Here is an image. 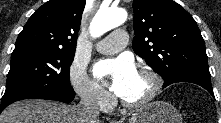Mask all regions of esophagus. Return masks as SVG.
<instances>
[{
    "instance_id": "esophagus-1",
    "label": "esophagus",
    "mask_w": 221,
    "mask_h": 123,
    "mask_svg": "<svg viewBox=\"0 0 221 123\" xmlns=\"http://www.w3.org/2000/svg\"><path fill=\"white\" fill-rule=\"evenodd\" d=\"M111 123H117L116 121H112Z\"/></svg>"
}]
</instances>
